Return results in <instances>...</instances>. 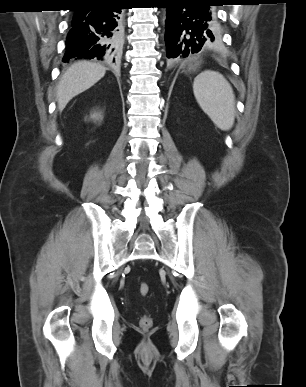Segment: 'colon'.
Instances as JSON below:
<instances>
[{"instance_id":"obj_1","label":"colon","mask_w":306,"mask_h":387,"mask_svg":"<svg viewBox=\"0 0 306 387\" xmlns=\"http://www.w3.org/2000/svg\"><path fill=\"white\" fill-rule=\"evenodd\" d=\"M139 292L142 296H147L150 292V287L146 282H141L139 284ZM140 327L142 329L148 330L152 327L153 321L150 316H143L139 321Z\"/></svg>"}]
</instances>
